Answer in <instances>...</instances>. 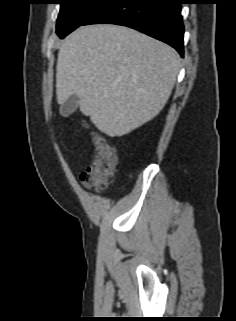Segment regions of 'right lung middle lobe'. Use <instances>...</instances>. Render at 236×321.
<instances>
[{"instance_id": "1", "label": "right lung middle lobe", "mask_w": 236, "mask_h": 321, "mask_svg": "<svg viewBox=\"0 0 236 321\" xmlns=\"http://www.w3.org/2000/svg\"><path fill=\"white\" fill-rule=\"evenodd\" d=\"M109 0H60L61 9L57 19V35L63 39L82 25L92 14Z\"/></svg>"}]
</instances>
